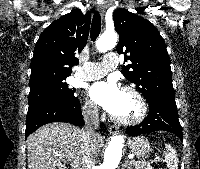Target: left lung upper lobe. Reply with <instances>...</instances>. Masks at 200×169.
<instances>
[{"label": "left lung upper lobe", "instance_id": "1", "mask_svg": "<svg viewBox=\"0 0 200 169\" xmlns=\"http://www.w3.org/2000/svg\"><path fill=\"white\" fill-rule=\"evenodd\" d=\"M120 40L119 54L131 64L122 67L125 78L136 84L149 102L154 98H175L170 58L157 28L148 20L125 9L113 13Z\"/></svg>", "mask_w": 200, "mask_h": 169}]
</instances>
